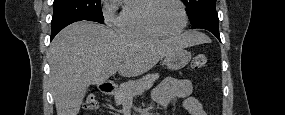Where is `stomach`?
Returning <instances> with one entry per match:
<instances>
[{"label":"stomach","instance_id":"1","mask_svg":"<svg viewBox=\"0 0 285 115\" xmlns=\"http://www.w3.org/2000/svg\"><path fill=\"white\" fill-rule=\"evenodd\" d=\"M191 60V54L184 48H178L164 57V64L170 70H179Z\"/></svg>","mask_w":285,"mask_h":115}]
</instances>
